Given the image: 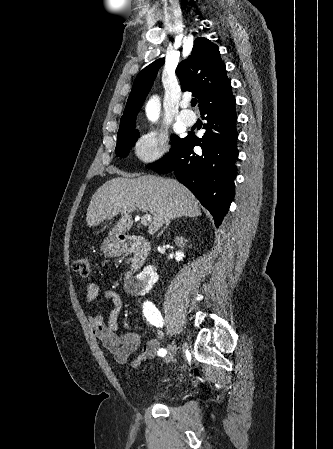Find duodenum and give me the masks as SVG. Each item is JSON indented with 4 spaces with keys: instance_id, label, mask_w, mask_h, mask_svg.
Here are the masks:
<instances>
[{
    "instance_id": "obj_1",
    "label": "duodenum",
    "mask_w": 333,
    "mask_h": 449,
    "mask_svg": "<svg viewBox=\"0 0 333 449\" xmlns=\"http://www.w3.org/2000/svg\"><path fill=\"white\" fill-rule=\"evenodd\" d=\"M114 248L118 253H131L133 255L131 270L127 278L144 266L150 253V243L140 236L118 237L114 243Z\"/></svg>"
}]
</instances>
